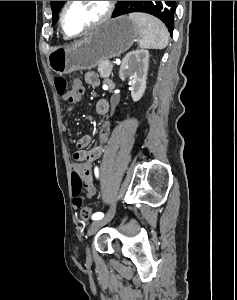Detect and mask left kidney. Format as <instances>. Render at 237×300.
<instances>
[{
    "instance_id": "5707ae66",
    "label": "left kidney",
    "mask_w": 237,
    "mask_h": 300,
    "mask_svg": "<svg viewBox=\"0 0 237 300\" xmlns=\"http://www.w3.org/2000/svg\"><path fill=\"white\" fill-rule=\"evenodd\" d=\"M149 53L145 49H136L127 53L122 61L119 77L122 81L129 79L133 101H140L146 89V79L149 67Z\"/></svg>"
}]
</instances>
